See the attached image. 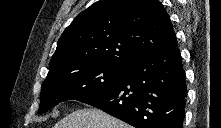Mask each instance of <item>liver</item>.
Listing matches in <instances>:
<instances>
[{
	"label": "liver",
	"mask_w": 221,
	"mask_h": 128,
	"mask_svg": "<svg viewBox=\"0 0 221 128\" xmlns=\"http://www.w3.org/2000/svg\"><path fill=\"white\" fill-rule=\"evenodd\" d=\"M54 128H132L130 125L112 117L97 108H84L73 111Z\"/></svg>",
	"instance_id": "6515ba94"
}]
</instances>
